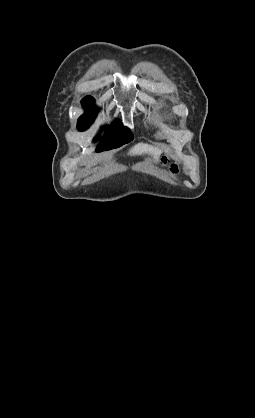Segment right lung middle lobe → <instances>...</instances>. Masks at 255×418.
<instances>
[{
  "label": "right lung middle lobe",
  "instance_id": "right-lung-middle-lobe-1",
  "mask_svg": "<svg viewBox=\"0 0 255 418\" xmlns=\"http://www.w3.org/2000/svg\"><path fill=\"white\" fill-rule=\"evenodd\" d=\"M94 98L86 97L82 101V105L86 112L78 119V129L83 131L87 129L94 121L98 109L93 105ZM133 135L129 128L123 127L122 122L115 120L112 125L106 128L105 135L97 147V152L117 148L130 142Z\"/></svg>",
  "mask_w": 255,
  "mask_h": 418
}]
</instances>
